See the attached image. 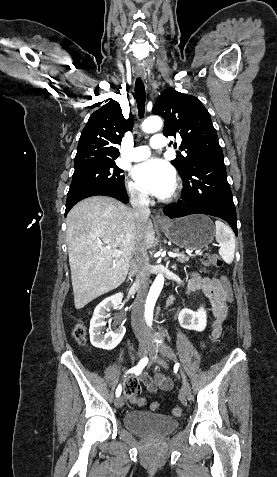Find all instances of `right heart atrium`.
I'll return each mask as SVG.
<instances>
[{"mask_svg":"<svg viewBox=\"0 0 277 477\" xmlns=\"http://www.w3.org/2000/svg\"><path fill=\"white\" fill-rule=\"evenodd\" d=\"M127 192L134 202L146 203L148 201L147 194L131 180L127 182Z\"/></svg>","mask_w":277,"mask_h":477,"instance_id":"1","label":"right heart atrium"}]
</instances>
